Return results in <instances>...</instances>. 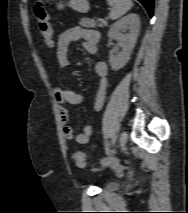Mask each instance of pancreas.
I'll list each match as a JSON object with an SVG mask.
<instances>
[{"label":"pancreas","mask_w":188,"mask_h":213,"mask_svg":"<svg viewBox=\"0 0 188 213\" xmlns=\"http://www.w3.org/2000/svg\"><path fill=\"white\" fill-rule=\"evenodd\" d=\"M96 21L94 19L90 18H83L80 20L79 24L86 28H95L96 27Z\"/></svg>","instance_id":"cf45deb5"}]
</instances>
